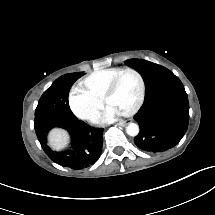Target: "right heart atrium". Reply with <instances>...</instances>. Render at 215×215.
<instances>
[{
  "label": "right heart atrium",
  "mask_w": 215,
  "mask_h": 215,
  "mask_svg": "<svg viewBox=\"0 0 215 215\" xmlns=\"http://www.w3.org/2000/svg\"><path fill=\"white\" fill-rule=\"evenodd\" d=\"M69 106L78 118L89 122L96 119L101 109V104L94 95L76 87L70 91Z\"/></svg>",
  "instance_id": "d8ad5b80"
}]
</instances>
